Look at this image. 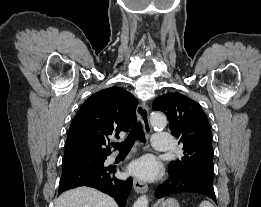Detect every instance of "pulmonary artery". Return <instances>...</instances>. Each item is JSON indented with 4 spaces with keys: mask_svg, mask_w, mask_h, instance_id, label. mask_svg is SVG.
<instances>
[{
    "mask_svg": "<svg viewBox=\"0 0 261 207\" xmlns=\"http://www.w3.org/2000/svg\"><path fill=\"white\" fill-rule=\"evenodd\" d=\"M152 146L158 151H168L170 149V135L166 132H157L153 135Z\"/></svg>",
    "mask_w": 261,
    "mask_h": 207,
    "instance_id": "pulmonary-artery-1",
    "label": "pulmonary artery"
}]
</instances>
